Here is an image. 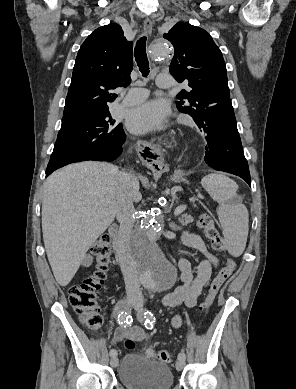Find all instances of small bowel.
Masks as SVG:
<instances>
[{
	"instance_id": "c3829d8e",
	"label": "small bowel",
	"mask_w": 296,
	"mask_h": 389,
	"mask_svg": "<svg viewBox=\"0 0 296 389\" xmlns=\"http://www.w3.org/2000/svg\"><path fill=\"white\" fill-rule=\"evenodd\" d=\"M183 242L186 246L194 248L202 253L204 258L198 264L195 274L193 273L191 264L187 259H179L178 267L180 270L181 285L177 286L172 292L165 295L162 300L163 305L169 308L176 307L181 304L187 308L195 307L204 287L210 281L212 273L218 265L217 259L206 250L202 239L198 235L187 232L183 235ZM91 262V255H87L84 258L82 265L87 267L91 264ZM170 322L173 327H180L182 324L181 315L176 313L172 314ZM147 336V333L141 327L137 325L124 324L116 329L113 342H120L125 338L142 341L145 340Z\"/></svg>"
}]
</instances>
